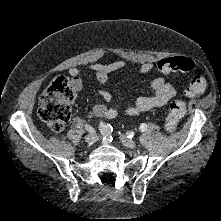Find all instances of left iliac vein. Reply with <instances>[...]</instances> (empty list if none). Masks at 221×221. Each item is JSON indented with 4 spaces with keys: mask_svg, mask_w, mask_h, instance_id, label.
<instances>
[{
    "mask_svg": "<svg viewBox=\"0 0 221 221\" xmlns=\"http://www.w3.org/2000/svg\"><path fill=\"white\" fill-rule=\"evenodd\" d=\"M120 140H121L122 144L126 147H129L132 149L136 147V142L132 139L126 138L125 136H121Z\"/></svg>",
    "mask_w": 221,
    "mask_h": 221,
    "instance_id": "1",
    "label": "left iliac vein"
}]
</instances>
